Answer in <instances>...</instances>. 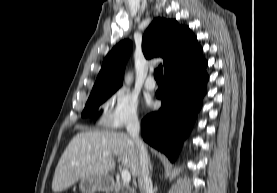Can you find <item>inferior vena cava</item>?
Returning a JSON list of instances; mask_svg holds the SVG:
<instances>
[{
	"instance_id": "602c4592",
	"label": "inferior vena cava",
	"mask_w": 277,
	"mask_h": 193,
	"mask_svg": "<svg viewBox=\"0 0 277 193\" xmlns=\"http://www.w3.org/2000/svg\"><path fill=\"white\" fill-rule=\"evenodd\" d=\"M126 129L139 151L140 170L138 172V185L140 193H153L152 180L149 176L150 159L144 143L139 138L140 122L137 116L129 118Z\"/></svg>"
}]
</instances>
